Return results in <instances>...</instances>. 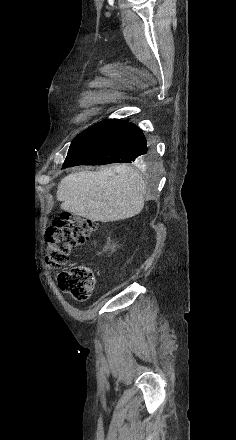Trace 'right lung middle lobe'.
<instances>
[{
	"label": "right lung middle lobe",
	"mask_w": 236,
	"mask_h": 440,
	"mask_svg": "<svg viewBox=\"0 0 236 440\" xmlns=\"http://www.w3.org/2000/svg\"><path fill=\"white\" fill-rule=\"evenodd\" d=\"M149 161H151V156L146 155V156L143 157L139 162H140L141 164H144V163H147V162H149Z\"/></svg>",
	"instance_id": "dd1d6c3e"
}]
</instances>
